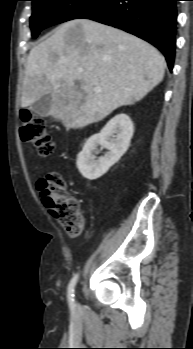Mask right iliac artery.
Listing matches in <instances>:
<instances>
[{"label": "right iliac artery", "instance_id": "82829eb1", "mask_svg": "<svg viewBox=\"0 0 193 349\" xmlns=\"http://www.w3.org/2000/svg\"><path fill=\"white\" fill-rule=\"evenodd\" d=\"M77 280H78V274L74 275V277L71 279L68 286V303L72 311L75 309L74 288L77 283Z\"/></svg>", "mask_w": 193, "mask_h": 349}]
</instances>
